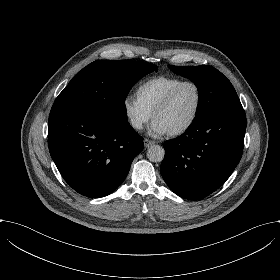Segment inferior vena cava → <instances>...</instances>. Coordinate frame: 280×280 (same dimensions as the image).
<instances>
[{"label":"inferior vena cava","instance_id":"1","mask_svg":"<svg viewBox=\"0 0 280 280\" xmlns=\"http://www.w3.org/2000/svg\"><path fill=\"white\" fill-rule=\"evenodd\" d=\"M131 124L134 128L141 129L142 128V121L137 118L131 119Z\"/></svg>","mask_w":280,"mask_h":280}]
</instances>
